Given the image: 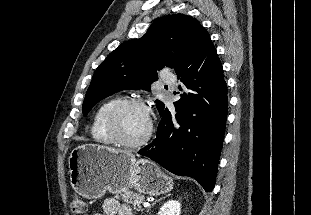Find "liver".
<instances>
[{"mask_svg":"<svg viewBox=\"0 0 311 215\" xmlns=\"http://www.w3.org/2000/svg\"><path fill=\"white\" fill-rule=\"evenodd\" d=\"M103 147H105V146H103ZM105 148H107V149H109V150H111V151H119V152H124V153H127V154H129V155L133 156L132 154H130L129 152H126V151L116 150L115 148H111V147H105Z\"/></svg>","mask_w":311,"mask_h":215,"instance_id":"1","label":"liver"}]
</instances>
